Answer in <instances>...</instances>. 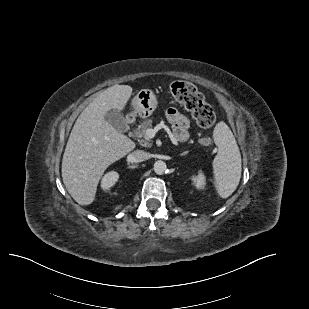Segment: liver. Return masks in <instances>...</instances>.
<instances>
[{
  "mask_svg": "<svg viewBox=\"0 0 309 309\" xmlns=\"http://www.w3.org/2000/svg\"><path fill=\"white\" fill-rule=\"evenodd\" d=\"M132 94L128 85L102 91L79 115L70 133L63 159L62 178L72 198L80 205L91 204L105 170L135 148L105 116L122 111Z\"/></svg>",
  "mask_w": 309,
  "mask_h": 309,
  "instance_id": "liver-1",
  "label": "liver"
}]
</instances>
